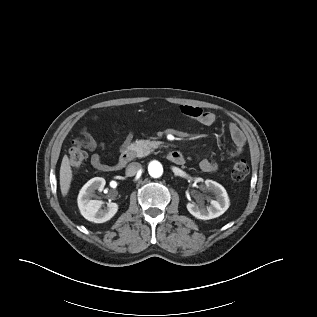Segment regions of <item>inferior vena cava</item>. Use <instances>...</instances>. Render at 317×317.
I'll use <instances>...</instances> for the list:
<instances>
[{
	"instance_id": "602c4592",
	"label": "inferior vena cava",
	"mask_w": 317,
	"mask_h": 317,
	"mask_svg": "<svg viewBox=\"0 0 317 317\" xmlns=\"http://www.w3.org/2000/svg\"><path fill=\"white\" fill-rule=\"evenodd\" d=\"M142 168L141 164L138 162L130 163L126 168V175L131 177L136 175V173L139 172V170Z\"/></svg>"
}]
</instances>
